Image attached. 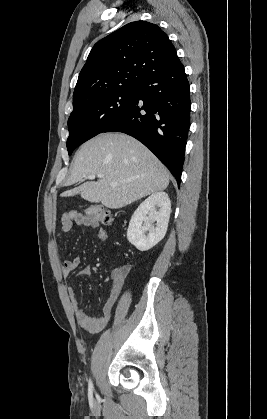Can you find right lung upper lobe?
Masks as SVG:
<instances>
[{"mask_svg":"<svg viewBox=\"0 0 267 419\" xmlns=\"http://www.w3.org/2000/svg\"><path fill=\"white\" fill-rule=\"evenodd\" d=\"M177 61L174 46L159 26L131 22L93 46L79 74L73 104L101 92L139 87L151 74Z\"/></svg>","mask_w":267,"mask_h":419,"instance_id":"right-lung-upper-lobe-1","label":"right lung upper lobe"}]
</instances>
